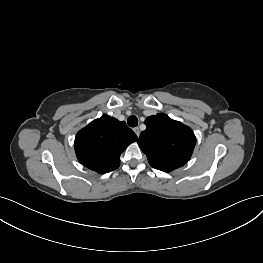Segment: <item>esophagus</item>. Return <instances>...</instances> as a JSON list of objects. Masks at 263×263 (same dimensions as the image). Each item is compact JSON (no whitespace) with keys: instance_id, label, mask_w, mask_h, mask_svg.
Returning <instances> with one entry per match:
<instances>
[{"instance_id":"obj_1","label":"esophagus","mask_w":263,"mask_h":263,"mask_svg":"<svg viewBox=\"0 0 263 263\" xmlns=\"http://www.w3.org/2000/svg\"><path fill=\"white\" fill-rule=\"evenodd\" d=\"M133 131H134L135 134L139 137V135H140V129H139L138 127H135V128L133 129Z\"/></svg>"}]
</instances>
